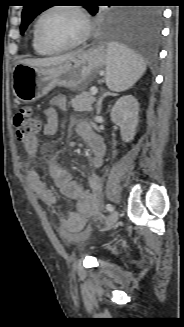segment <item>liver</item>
<instances>
[{
    "label": "liver",
    "instance_id": "liver-1",
    "mask_svg": "<svg viewBox=\"0 0 184 327\" xmlns=\"http://www.w3.org/2000/svg\"><path fill=\"white\" fill-rule=\"evenodd\" d=\"M79 52L69 53L57 57H50V58H41V59H24L21 60L19 63L33 66V67H51L56 66L59 64L64 63L65 61L72 59L75 57Z\"/></svg>",
    "mask_w": 184,
    "mask_h": 327
}]
</instances>
